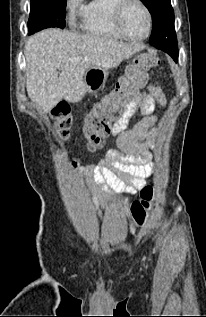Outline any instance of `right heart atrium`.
<instances>
[{
  "instance_id": "right-heart-atrium-1",
  "label": "right heart atrium",
  "mask_w": 206,
  "mask_h": 317,
  "mask_svg": "<svg viewBox=\"0 0 206 317\" xmlns=\"http://www.w3.org/2000/svg\"><path fill=\"white\" fill-rule=\"evenodd\" d=\"M82 0H67L66 7L71 13H80L82 9Z\"/></svg>"
}]
</instances>
